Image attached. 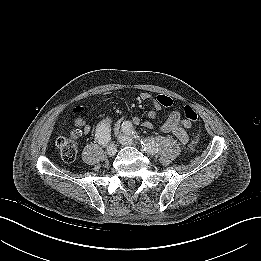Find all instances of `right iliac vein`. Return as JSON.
<instances>
[{
	"label": "right iliac vein",
	"instance_id": "obj_1",
	"mask_svg": "<svg viewBox=\"0 0 261 261\" xmlns=\"http://www.w3.org/2000/svg\"><path fill=\"white\" fill-rule=\"evenodd\" d=\"M107 151L109 154H114L116 152V146L113 143H110L107 147Z\"/></svg>",
	"mask_w": 261,
	"mask_h": 261
}]
</instances>
